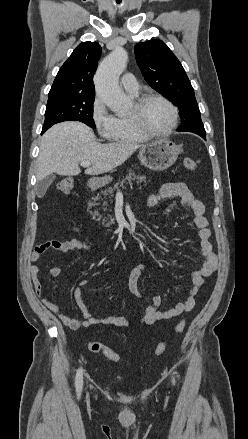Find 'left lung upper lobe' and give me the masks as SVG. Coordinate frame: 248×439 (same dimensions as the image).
I'll use <instances>...</instances> for the list:
<instances>
[{
	"mask_svg": "<svg viewBox=\"0 0 248 439\" xmlns=\"http://www.w3.org/2000/svg\"><path fill=\"white\" fill-rule=\"evenodd\" d=\"M135 54L148 84L178 106L181 126L177 131L193 132L205 137L194 89L181 63L167 45L158 39L140 42L135 46Z\"/></svg>",
	"mask_w": 248,
	"mask_h": 439,
	"instance_id": "left-lung-upper-lobe-1",
	"label": "left lung upper lobe"
}]
</instances>
